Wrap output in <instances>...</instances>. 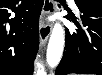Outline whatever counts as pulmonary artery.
Wrapping results in <instances>:
<instances>
[{
	"mask_svg": "<svg viewBox=\"0 0 102 75\" xmlns=\"http://www.w3.org/2000/svg\"><path fill=\"white\" fill-rule=\"evenodd\" d=\"M69 3L72 5V6H74V0H69Z\"/></svg>",
	"mask_w": 102,
	"mask_h": 75,
	"instance_id": "obj_1",
	"label": "pulmonary artery"
}]
</instances>
